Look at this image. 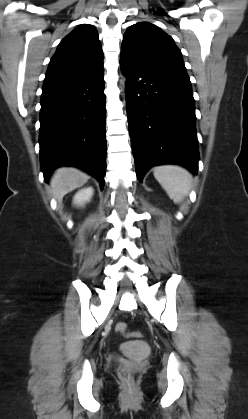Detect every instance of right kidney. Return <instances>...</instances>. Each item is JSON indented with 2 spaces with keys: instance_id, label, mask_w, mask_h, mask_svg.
Instances as JSON below:
<instances>
[{
  "instance_id": "ca27d5eb",
  "label": "right kidney",
  "mask_w": 248,
  "mask_h": 419,
  "mask_svg": "<svg viewBox=\"0 0 248 419\" xmlns=\"http://www.w3.org/2000/svg\"><path fill=\"white\" fill-rule=\"evenodd\" d=\"M93 193L94 190L92 187L81 189L75 194L73 198V203L77 206H84L86 202L90 201V199L93 196Z\"/></svg>"
}]
</instances>
